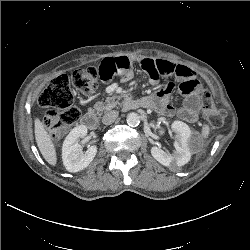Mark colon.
<instances>
[{
	"label": "colon",
	"instance_id": "1",
	"mask_svg": "<svg viewBox=\"0 0 250 250\" xmlns=\"http://www.w3.org/2000/svg\"><path fill=\"white\" fill-rule=\"evenodd\" d=\"M99 79L98 68L78 69L71 77L60 75L52 79L42 91L39 104L48 109L44 124L52 138H60L79 120L80 111L73 105V88L86 95L93 94L97 90ZM201 102L211 127H221L225 112L214 105L207 91H202Z\"/></svg>",
	"mask_w": 250,
	"mask_h": 250
}]
</instances>
